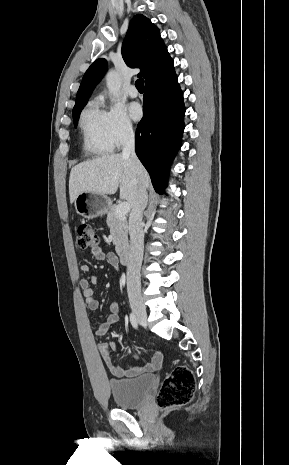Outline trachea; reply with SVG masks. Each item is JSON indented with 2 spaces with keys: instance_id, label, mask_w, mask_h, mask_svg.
Wrapping results in <instances>:
<instances>
[{
  "instance_id": "trachea-1",
  "label": "trachea",
  "mask_w": 289,
  "mask_h": 465,
  "mask_svg": "<svg viewBox=\"0 0 289 465\" xmlns=\"http://www.w3.org/2000/svg\"><path fill=\"white\" fill-rule=\"evenodd\" d=\"M135 86L138 89V91H144V80L142 78L138 79L135 82Z\"/></svg>"
}]
</instances>
